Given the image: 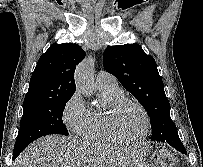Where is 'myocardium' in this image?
<instances>
[{
  "mask_svg": "<svg viewBox=\"0 0 203 167\" xmlns=\"http://www.w3.org/2000/svg\"><path fill=\"white\" fill-rule=\"evenodd\" d=\"M124 103H129L136 106L141 111L144 118L143 131L138 138L133 140H128L120 137L116 133L114 128V119H115L116 112L118 111L119 107ZM103 128L107 136L113 142L124 144V145H136L141 143L147 137L149 128H150V117L146 108L140 102L128 96H125L124 94H119L111 100L107 110L103 115Z\"/></svg>",
  "mask_w": 203,
  "mask_h": 167,
  "instance_id": "f54148a6",
  "label": "myocardium"
}]
</instances>
